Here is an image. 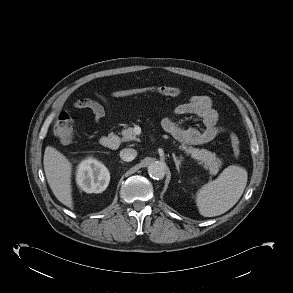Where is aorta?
I'll use <instances>...</instances> for the list:
<instances>
[{
	"label": "aorta",
	"mask_w": 293,
	"mask_h": 293,
	"mask_svg": "<svg viewBox=\"0 0 293 293\" xmlns=\"http://www.w3.org/2000/svg\"><path fill=\"white\" fill-rule=\"evenodd\" d=\"M148 174L153 179H163L165 176V166L158 161L153 162L148 166Z\"/></svg>",
	"instance_id": "762f6f07"
}]
</instances>
